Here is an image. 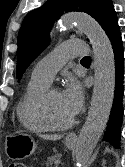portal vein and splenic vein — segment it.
<instances>
[{
    "label": "portal vein and splenic vein",
    "instance_id": "obj_1",
    "mask_svg": "<svg viewBox=\"0 0 125 167\" xmlns=\"http://www.w3.org/2000/svg\"><path fill=\"white\" fill-rule=\"evenodd\" d=\"M60 163H61L60 160H56V161L54 162L55 165H58V164H60Z\"/></svg>",
    "mask_w": 125,
    "mask_h": 167
}]
</instances>
